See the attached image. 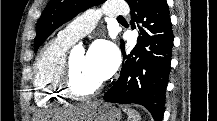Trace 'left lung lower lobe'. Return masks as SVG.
Wrapping results in <instances>:
<instances>
[{"label": "left lung lower lobe", "instance_id": "0a47b994", "mask_svg": "<svg viewBox=\"0 0 217 121\" xmlns=\"http://www.w3.org/2000/svg\"><path fill=\"white\" fill-rule=\"evenodd\" d=\"M131 26L140 36L124 62L117 82L104 94L111 103L143 105L155 121L164 115L173 32L166 0H127ZM137 25H136V24ZM122 53L124 42L121 41Z\"/></svg>", "mask_w": 217, "mask_h": 121}]
</instances>
